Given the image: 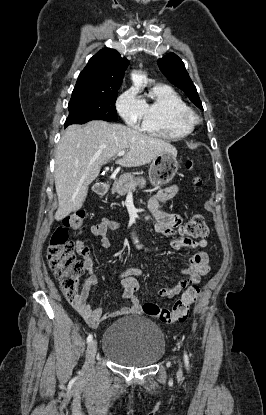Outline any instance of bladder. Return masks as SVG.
Returning a JSON list of instances; mask_svg holds the SVG:
<instances>
[{
	"label": "bladder",
	"instance_id": "obj_1",
	"mask_svg": "<svg viewBox=\"0 0 266 415\" xmlns=\"http://www.w3.org/2000/svg\"><path fill=\"white\" fill-rule=\"evenodd\" d=\"M162 330L142 316H130L110 324L104 333L106 357L123 366L145 367L158 362L165 352Z\"/></svg>",
	"mask_w": 266,
	"mask_h": 415
}]
</instances>
